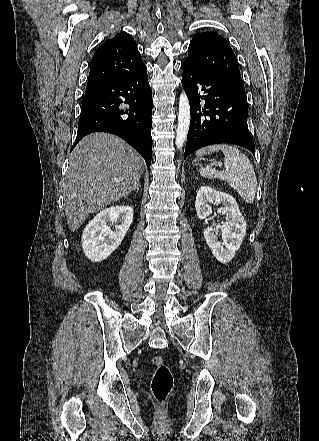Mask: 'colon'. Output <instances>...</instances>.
<instances>
[{
  "instance_id": "5ec220e1",
  "label": "colon",
  "mask_w": 319,
  "mask_h": 441,
  "mask_svg": "<svg viewBox=\"0 0 319 441\" xmlns=\"http://www.w3.org/2000/svg\"><path fill=\"white\" fill-rule=\"evenodd\" d=\"M152 363L155 372L151 381V392L158 403H164L173 389V375L161 356L153 357Z\"/></svg>"
}]
</instances>
